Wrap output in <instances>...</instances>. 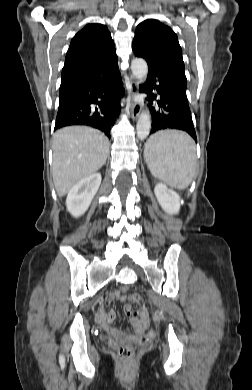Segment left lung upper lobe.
I'll use <instances>...</instances> for the list:
<instances>
[{
	"instance_id": "left-lung-upper-lobe-1",
	"label": "left lung upper lobe",
	"mask_w": 252,
	"mask_h": 390,
	"mask_svg": "<svg viewBox=\"0 0 252 390\" xmlns=\"http://www.w3.org/2000/svg\"><path fill=\"white\" fill-rule=\"evenodd\" d=\"M133 52L146 60L149 69L170 74L187 85L182 49L170 27L155 19L140 23L133 39Z\"/></svg>"
}]
</instances>
